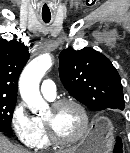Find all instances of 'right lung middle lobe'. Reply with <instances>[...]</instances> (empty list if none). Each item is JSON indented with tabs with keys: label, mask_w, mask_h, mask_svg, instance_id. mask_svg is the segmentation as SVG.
I'll return each instance as SVG.
<instances>
[{
	"label": "right lung middle lobe",
	"mask_w": 130,
	"mask_h": 153,
	"mask_svg": "<svg viewBox=\"0 0 130 153\" xmlns=\"http://www.w3.org/2000/svg\"><path fill=\"white\" fill-rule=\"evenodd\" d=\"M16 99L0 97V131L12 134L11 120Z\"/></svg>",
	"instance_id": "1"
}]
</instances>
